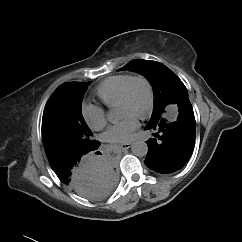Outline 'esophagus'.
I'll use <instances>...</instances> for the list:
<instances>
[{
  "label": "esophagus",
  "mask_w": 242,
  "mask_h": 242,
  "mask_svg": "<svg viewBox=\"0 0 242 242\" xmlns=\"http://www.w3.org/2000/svg\"><path fill=\"white\" fill-rule=\"evenodd\" d=\"M131 143H124V144H121L120 145V148L123 150V151H125V150H127V149H129L130 147H131Z\"/></svg>",
  "instance_id": "obj_1"
}]
</instances>
